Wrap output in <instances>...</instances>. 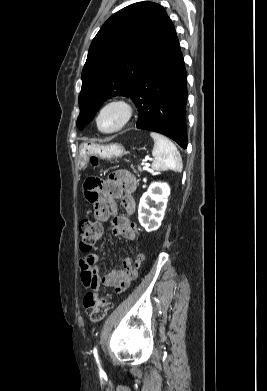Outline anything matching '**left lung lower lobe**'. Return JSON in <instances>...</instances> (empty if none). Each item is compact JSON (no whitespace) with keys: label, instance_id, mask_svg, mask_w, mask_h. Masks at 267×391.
<instances>
[{"label":"left lung lower lobe","instance_id":"obj_1","mask_svg":"<svg viewBox=\"0 0 267 391\" xmlns=\"http://www.w3.org/2000/svg\"><path fill=\"white\" fill-rule=\"evenodd\" d=\"M130 97L139 109L137 128L187 147V80L177 36L157 55Z\"/></svg>","mask_w":267,"mask_h":391}]
</instances>
